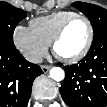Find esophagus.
Masks as SVG:
<instances>
[{
  "label": "esophagus",
  "instance_id": "34e87169",
  "mask_svg": "<svg viewBox=\"0 0 107 107\" xmlns=\"http://www.w3.org/2000/svg\"><path fill=\"white\" fill-rule=\"evenodd\" d=\"M51 66L50 65H42L41 69L44 73H47L50 70Z\"/></svg>",
  "mask_w": 107,
  "mask_h": 107
}]
</instances>
